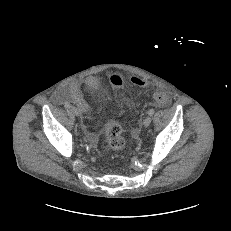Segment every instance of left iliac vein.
I'll return each instance as SVG.
<instances>
[{"label":"left iliac vein","mask_w":231,"mask_h":231,"mask_svg":"<svg viewBox=\"0 0 231 231\" xmlns=\"http://www.w3.org/2000/svg\"><path fill=\"white\" fill-rule=\"evenodd\" d=\"M150 124H151V117H150V115H148L145 117V119L143 121V125H144V127H149Z\"/></svg>","instance_id":"1"}]
</instances>
